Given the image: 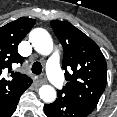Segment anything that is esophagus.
<instances>
[{
  "label": "esophagus",
  "instance_id": "esophagus-1",
  "mask_svg": "<svg viewBox=\"0 0 117 117\" xmlns=\"http://www.w3.org/2000/svg\"><path fill=\"white\" fill-rule=\"evenodd\" d=\"M38 83L40 84V85H42V84H44L45 83V79L44 78H39L38 79Z\"/></svg>",
  "mask_w": 117,
  "mask_h": 117
}]
</instances>
